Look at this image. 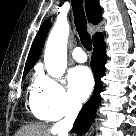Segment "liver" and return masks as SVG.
Instances as JSON below:
<instances>
[{"label":"liver","instance_id":"obj_1","mask_svg":"<svg viewBox=\"0 0 136 136\" xmlns=\"http://www.w3.org/2000/svg\"><path fill=\"white\" fill-rule=\"evenodd\" d=\"M46 132L52 136H56L57 134V131L53 127L47 130L45 125L36 123L23 126L15 136H46Z\"/></svg>","mask_w":136,"mask_h":136}]
</instances>
